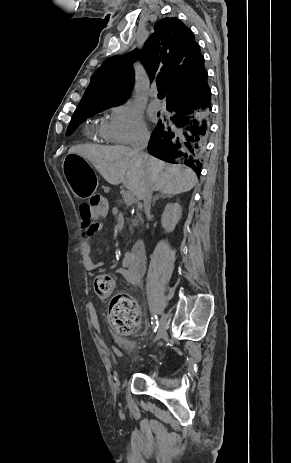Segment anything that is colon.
<instances>
[{
	"mask_svg": "<svg viewBox=\"0 0 291 463\" xmlns=\"http://www.w3.org/2000/svg\"><path fill=\"white\" fill-rule=\"evenodd\" d=\"M81 210L87 217H107L106 202L101 196H93L88 204H83ZM115 281L108 274L98 275L94 280V291L99 298L112 297L109 304V318L115 330L120 334H131L139 322V312L135 302L125 296H113Z\"/></svg>",
	"mask_w": 291,
	"mask_h": 463,
	"instance_id": "obj_1",
	"label": "colon"
}]
</instances>
